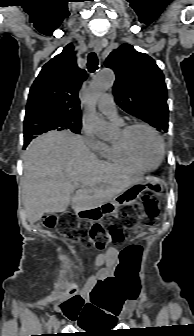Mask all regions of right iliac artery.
I'll use <instances>...</instances> for the list:
<instances>
[{"label": "right iliac artery", "mask_w": 194, "mask_h": 336, "mask_svg": "<svg viewBox=\"0 0 194 336\" xmlns=\"http://www.w3.org/2000/svg\"><path fill=\"white\" fill-rule=\"evenodd\" d=\"M54 321H55V316H51L50 319L48 320V323H47L48 329L51 328V326L53 325Z\"/></svg>", "instance_id": "right-iliac-artery-1"}]
</instances>
